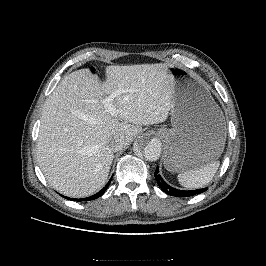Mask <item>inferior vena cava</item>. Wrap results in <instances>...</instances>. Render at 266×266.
Segmentation results:
<instances>
[{"mask_svg":"<svg viewBox=\"0 0 266 266\" xmlns=\"http://www.w3.org/2000/svg\"><path fill=\"white\" fill-rule=\"evenodd\" d=\"M126 145V140L123 136L116 135L108 143L111 151L117 152Z\"/></svg>","mask_w":266,"mask_h":266,"instance_id":"1","label":"inferior vena cava"}]
</instances>
